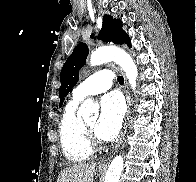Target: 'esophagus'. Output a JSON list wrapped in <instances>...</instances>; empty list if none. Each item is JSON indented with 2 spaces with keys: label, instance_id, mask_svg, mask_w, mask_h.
<instances>
[{
  "label": "esophagus",
  "instance_id": "obj_1",
  "mask_svg": "<svg viewBox=\"0 0 196 182\" xmlns=\"http://www.w3.org/2000/svg\"><path fill=\"white\" fill-rule=\"evenodd\" d=\"M124 83H125V85H124L125 96H126V101H127V113H126L124 126H123V129L121 131V137H120L118 143L116 144V146L114 147V150H113L114 153L117 151V149L119 148V146L122 143V138H123V136H124V134L126 132L127 123H128V120H129V117H130V111H131L130 93H129L128 83H127V80H126L125 76H124ZM111 158H112V155H110V157L107 160H103V161L98 162V167H105V166H107L108 161H110Z\"/></svg>",
  "mask_w": 196,
  "mask_h": 182
}]
</instances>
